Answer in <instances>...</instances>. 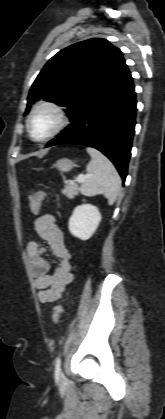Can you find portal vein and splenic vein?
<instances>
[{
    "label": "portal vein and splenic vein",
    "mask_w": 165,
    "mask_h": 419,
    "mask_svg": "<svg viewBox=\"0 0 165 419\" xmlns=\"http://www.w3.org/2000/svg\"><path fill=\"white\" fill-rule=\"evenodd\" d=\"M88 176H89L88 174L78 176V177L76 178V181H77V182H79V183L84 182ZM71 184H72V182H71Z\"/></svg>",
    "instance_id": "1"
}]
</instances>
